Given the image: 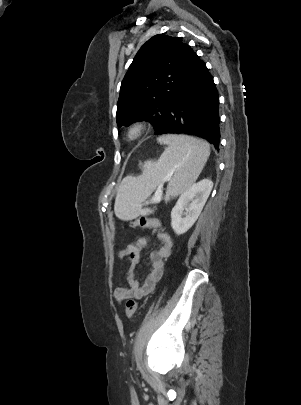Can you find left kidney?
Instances as JSON below:
<instances>
[{
	"mask_svg": "<svg viewBox=\"0 0 301 405\" xmlns=\"http://www.w3.org/2000/svg\"><path fill=\"white\" fill-rule=\"evenodd\" d=\"M212 188L213 182L204 179L193 184L181 194L171 211V227L177 235L187 232L196 222Z\"/></svg>",
	"mask_w": 301,
	"mask_h": 405,
	"instance_id": "5707ae66",
	"label": "left kidney"
}]
</instances>
